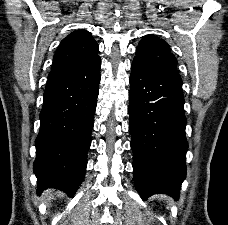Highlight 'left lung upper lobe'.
Masks as SVG:
<instances>
[{
	"mask_svg": "<svg viewBox=\"0 0 228 225\" xmlns=\"http://www.w3.org/2000/svg\"><path fill=\"white\" fill-rule=\"evenodd\" d=\"M135 60H139L156 70L177 72V60L170 46L154 35L144 36L137 46Z\"/></svg>",
	"mask_w": 228,
	"mask_h": 225,
	"instance_id": "1",
	"label": "left lung upper lobe"
}]
</instances>
